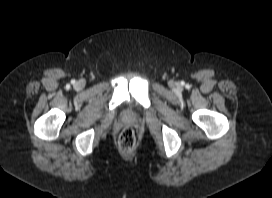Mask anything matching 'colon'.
<instances>
[{
  "label": "colon",
  "instance_id": "obj_1",
  "mask_svg": "<svg viewBox=\"0 0 272 198\" xmlns=\"http://www.w3.org/2000/svg\"><path fill=\"white\" fill-rule=\"evenodd\" d=\"M136 143V136L132 127H125L118 138V144L122 151L128 152L133 149Z\"/></svg>",
  "mask_w": 272,
  "mask_h": 198
}]
</instances>
